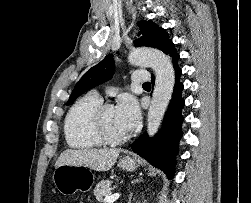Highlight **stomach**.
Returning <instances> with one entry per match:
<instances>
[{
	"label": "stomach",
	"instance_id": "obj_1",
	"mask_svg": "<svg viewBox=\"0 0 251 203\" xmlns=\"http://www.w3.org/2000/svg\"><path fill=\"white\" fill-rule=\"evenodd\" d=\"M119 166L128 172L134 171L138 164L135 159L125 156L119 160ZM92 171L85 166L64 164L56 167L53 182L63 195L74 194L76 191L86 192L94 183Z\"/></svg>",
	"mask_w": 251,
	"mask_h": 203
}]
</instances>
